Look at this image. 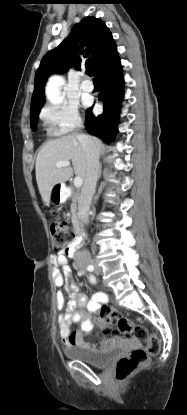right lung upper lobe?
<instances>
[{"instance_id": "1", "label": "right lung upper lobe", "mask_w": 187, "mask_h": 415, "mask_svg": "<svg viewBox=\"0 0 187 415\" xmlns=\"http://www.w3.org/2000/svg\"><path fill=\"white\" fill-rule=\"evenodd\" d=\"M117 48L109 29L96 17L87 16L76 24L70 35L41 60L36 71L31 112L42 107L44 87L53 73H64L71 66L90 69L94 76L117 55Z\"/></svg>"}]
</instances>
